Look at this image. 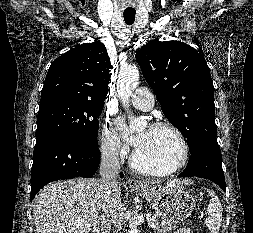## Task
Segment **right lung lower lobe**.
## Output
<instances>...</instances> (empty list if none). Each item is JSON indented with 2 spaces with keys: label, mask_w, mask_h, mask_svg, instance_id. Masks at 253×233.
<instances>
[{
  "label": "right lung lower lobe",
  "mask_w": 253,
  "mask_h": 233,
  "mask_svg": "<svg viewBox=\"0 0 253 233\" xmlns=\"http://www.w3.org/2000/svg\"><path fill=\"white\" fill-rule=\"evenodd\" d=\"M100 163L98 147H89L64 137L36 141L31 170L32 200L46 184L61 179L92 177ZM123 177V174L120 173Z\"/></svg>",
  "instance_id": "obj_1"
}]
</instances>
